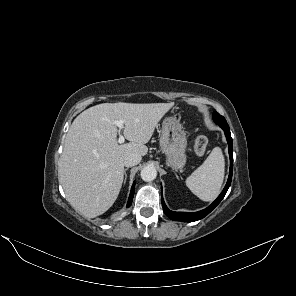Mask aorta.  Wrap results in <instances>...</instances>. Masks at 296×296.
I'll list each match as a JSON object with an SVG mask.
<instances>
[{
    "label": "aorta",
    "mask_w": 296,
    "mask_h": 296,
    "mask_svg": "<svg viewBox=\"0 0 296 296\" xmlns=\"http://www.w3.org/2000/svg\"><path fill=\"white\" fill-rule=\"evenodd\" d=\"M141 178L146 182L153 181L157 176V171L152 166H146L141 170Z\"/></svg>",
    "instance_id": "762f6f07"
}]
</instances>
